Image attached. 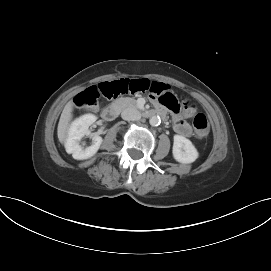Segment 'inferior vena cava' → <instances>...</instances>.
<instances>
[{"label":"inferior vena cava","instance_id":"obj_1","mask_svg":"<svg viewBox=\"0 0 271 271\" xmlns=\"http://www.w3.org/2000/svg\"><path fill=\"white\" fill-rule=\"evenodd\" d=\"M121 117L127 121H136L141 118V114L136 108L128 107L122 111Z\"/></svg>","mask_w":271,"mask_h":271}]
</instances>
